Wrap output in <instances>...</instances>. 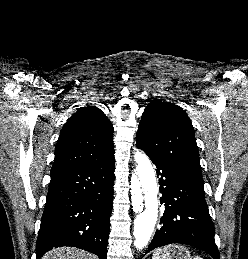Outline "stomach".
Listing matches in <instances>:
<instances>
[{
  "label": "stomach",
  "instance_id": "obj_1",
  "mask_svg": "<svg viewBox=\"0 0 248 259\" xmlns=\"http://www.w3.org/2000/svg\"><path fill=\"white\" fill-rule=\"evenodd\" d=\"M161 259H192L190 251L182 245L162 248Z\"/></svg>",
  "mask_w": 248,
  "mask_h": 259
}]
</instances>
